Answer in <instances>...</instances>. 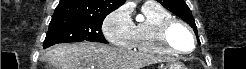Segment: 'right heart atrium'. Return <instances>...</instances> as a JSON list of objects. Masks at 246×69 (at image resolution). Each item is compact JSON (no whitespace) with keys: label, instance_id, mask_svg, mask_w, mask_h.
I'll return each instance as SVG.
<instances>
[{"label":"right heart atrium","instance_id":"obj_1","mask_svg":"<svg viewBox=\"0 0 246 69\" xmlns=\"http://www.w3.org/2000/svg\"><path fill=\"white\" fill-rule=\"evenodd\" d=\"M102 31L112 45L130 48L133 44L134 23L124 7H119L106 16Z\"/></svg>","mask_w":246,"mask_h":69}]
</instances>
